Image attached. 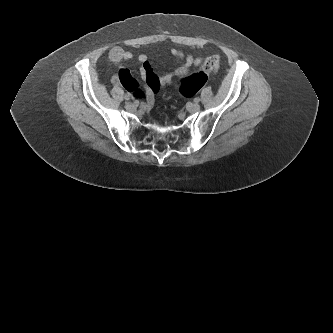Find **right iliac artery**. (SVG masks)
Masks as SVG:
<instances>
[{
  "label": "right iliac artery",
  "mask_w": 333,
  "mask_h": 333,
  "mask_svg": "<svg viewBox=\"0 0 333 333\" xmlns=\"http://www.w3.org/2000/svg\"><path fill=\"white\" fill-rule=\"evenodd\" d=\"M125 99H126V100H129V99H130V95H129V94H126V95H125Z\"/></svg>",
  "instance_id": "82829eb1"
}]
</instances>
